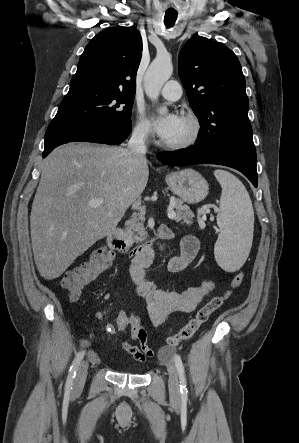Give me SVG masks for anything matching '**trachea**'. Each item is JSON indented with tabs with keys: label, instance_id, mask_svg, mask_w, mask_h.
<instances>
[{
	"label": "trachea",
	"instance_id": "trachea-1",
	"mask_svg": "<svg viewBox=\"0 0 299 443\" xmlns=\"http://www.w3.org/2000/svg\"><path fill=\"white\" fill-rule=\"evenodd\" d=\"M177 19V14L173 13V12H166L165 17H164V24L167 28L172 27Z\"/></svg>",
	"mask_w": 299,
	"mask_h": 443
}]
</instances>
